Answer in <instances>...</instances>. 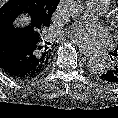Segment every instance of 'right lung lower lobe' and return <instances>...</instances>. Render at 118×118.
<instances>
[{"label":"right lung lower lobe","instance_id":"1","mask_svg":"<svg viewBox=\"0 0 118 118\" xmlns=\"http://www.w3.org/2000/svg\"><path fill=\"white\" fill-rule=\"evenodd\" d=\"M37 44L26 29L0 28V69L15 80H27L36 71Z\"/></svg>","mask_w":118,"mask_h":118}]
</instances>
